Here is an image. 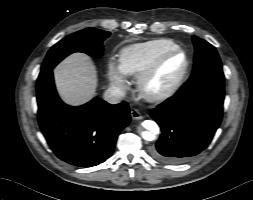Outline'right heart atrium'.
Returning <instances> with one entry per match:
<instances>
[{"label":"right heart atrium","instance_id":"right-heart-atrium-1","mask_svg":"<svg viewBox=\"0 0 253 200\" xmlns=\"http://www.w3.org/2000/svg\"><path fill=\"white\" fill-rule=\"evenodd\" d=\"M106 75L112 87L119 93H124L127 90L128 82L125 74L120 66L112 59L107 63Z\"/></svg>","mask_w":253,"mask_h":200}]
</instances>
